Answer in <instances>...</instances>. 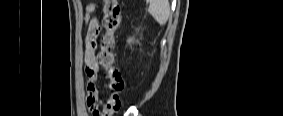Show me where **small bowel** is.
Returning <instances> with one entry per match:
<instances>
[{
  "label": "small bowel",
  "mask_w": 283,
  "mask_h": 116,
  "mask_svg": "<svg viewBox=\"0 0 283 116\" xmlns=\"http://www.w3.org/2000/svg\"><path fill=\"white\" fill-rule=\"evenodd\" d=\"M99 34H100V26L97 20L90 19L88 21V31L85 41L84 61H85V73L88 78V92L86 96V104L91 112L95 107L99 106L101 102L99 87L97 85V81L99 77V63L97 60V47H98Z\"/></svg>",
  "instance_id": "c3829d8e"
}]
</instances>
